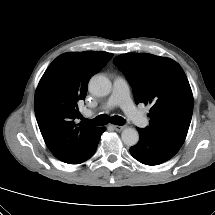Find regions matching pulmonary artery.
Here are the masks:
<instances>
[{
	"mask_svg": "<svg viewBox=\"0 0 215 215\" xmlns=\"http://www.w3.org/2000/svg\"><path fill=\"white\" fill-rule=\"evenodd\" d=\"M116 106H120L127 117L137 126L146 127L148 125V119L146 116L138 110L132 103L129 97V90L126 81L122 77H117L113 82L112 93L100 108L101 110H109ZM93 111H85L86 116H91Z\"/></svg>",
	"mask_w": 215,
	"mask_h": 215,
	"instance_id": "1",
	"label": "pulmonary artery"
}]
</instances>
